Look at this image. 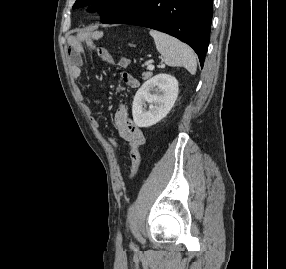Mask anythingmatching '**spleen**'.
I'll list each match as a JSON object with an SVG mask.
<instances>
[{
  "instance_id": "1",
  "label": "spleen",
  "mask_w": 286,
  "mask_h": 269,
  "mask_svg": "<svg viewBox=\"0 0 286 269\" xmlns=\"http://www.w3.org/2000/svg\"><path fill=\"white\" fill-rule=\"evenodd\" d=\"M149 33L155 41L158 52L164 57L166 65L185 67L192 75L196 73V56L188 45L156 30H150Z\"/></svg>"
}]
</instances>
